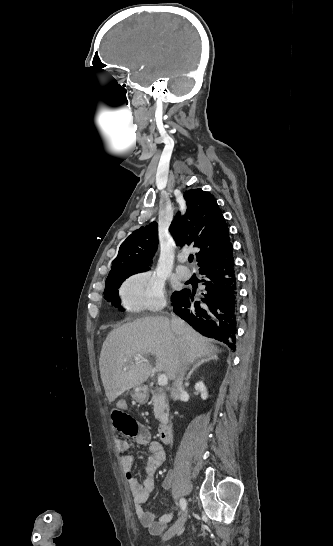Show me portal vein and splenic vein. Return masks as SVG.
<instances>
[{"label": "portal vein and splenic vein", "mask_w": 333, "mask_h": 546, "mask_svg": "<svg viewBox=\"0 0 333 546\" xmlns=\"http://www.w3.org/2000/svg\"><path fill=\"white\" fill-rule=\"evenodd\" d=\"M141 360H144V361H145V359H144L143 357H140V356L134 357V361H135V362H139V361H141ZM167 384H168V377H167V375H166V374H160V375L158 376V385H159V386H165V385H167Z\"/></svg>", "instance_id": "portal-vein-and-splenic-vein-1"}]
</instances>
